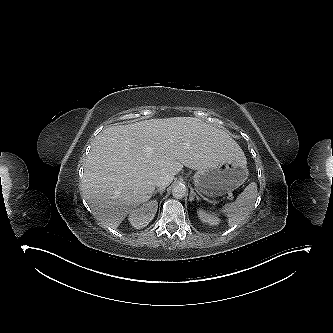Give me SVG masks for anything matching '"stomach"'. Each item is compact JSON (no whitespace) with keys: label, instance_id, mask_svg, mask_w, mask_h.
<instances>
[{"label":"stomach","instance_id":"stomach-1","mask_svg":"<svg viewBox=\"0 0 333 333\" xmlns=\"http://www.w3.org/2000/svg\"><path fill=\"white\" fill-rule=\"evenodd\" d=\"M247 177L246 159H237L198 170L193 180L201 193L208 197H218L237 189Z\"/></svg>","mask_w":333,"mask_h":333}]
</instances>
